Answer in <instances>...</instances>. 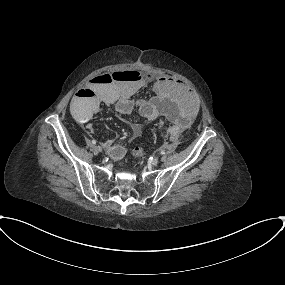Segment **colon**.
Masks as SVG:
<instances>
[{"mask_svg":"<svg viewBox=\"0 0 285 285\" xmlns=\"http://www.w3.org/2000/svg\"><path fill=\"white\" fill-rule=\"evenodd\" d=\"M116 77L119 78V79L128 80L130 82H135V81L139 80V78H138L139 77V73L128 71V72H124V73H119V74L116 75ZM105 81L106 82H110V79L106 78ZM90 98H92V97H90ZM133 155L136 158H141L142 155H143L142 149L140 147L134 148Z\"/></svg>","mask_w":285,"mask_h":285,"instance_id":"obj_1","label":"colon"}]
</instances>
